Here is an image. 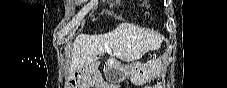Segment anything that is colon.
I'll return each mask as SVG.
<instances>
[{"instance_id": "colon-1", "label": "colon", "mask_w": 227, "mask_h": 88, "mask_svg": "<svg viewBox=\"0 0 227 88\" xmlns=\"http://www.w3.org/2000/svg\"><path fill=\"white\" fill-rule=\"evenodd\" d=\"M97 71H98V69L95 68L92 73L95 74ZM148 88H150V87H148ZM155 88H158V86H155Z\"/></svg>"}]
</instances>
